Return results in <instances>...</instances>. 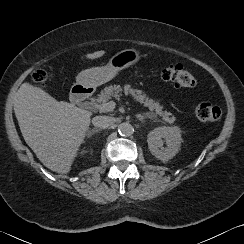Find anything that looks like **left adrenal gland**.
I'll use <instances>...</instances> for the list:
<instances>
[{
    "instance_id": "a2214340",
    "label": "left adrenal gland",
    "mask_w": 244,
    "mask_h": 244,
    "mask_svg": "<svg viewBox=\"0 0 244 244\" xmlns=\"http://www.w3.org/2000/svg\"><path fill=\"white\" fill-rule=\"evenodd\" d=\"M147 117L148 116L146 114H143V115L138 114L137 115L138 120L141 121V122H144Z\"/></svg>"
}]
</instances>
